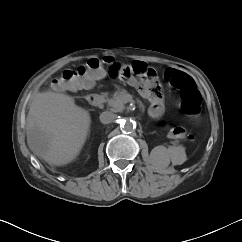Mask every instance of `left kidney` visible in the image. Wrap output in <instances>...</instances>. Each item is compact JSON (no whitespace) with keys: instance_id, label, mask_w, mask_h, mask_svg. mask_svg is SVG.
Masks as SVG:
<instances>
[{"instance_id":"obj_1","label":"left kidney","mask_w":242,"mask_h":242,"mask_svg":"<svg viewBox=\"0 0 242 242\" xmlns=\"http://www.w3.org/2000/svg\"><path fill=\"white\" fill-rule=\"evenodd\" d=\"M167 149L164 146H156L151 151V158L156 165L159 166H168L170 159L167 156ZM180 155V159H174V164H182L186 160L185 151L183 148H180L176 151V156Z\"/></svg>"}]
</instances>
